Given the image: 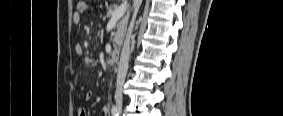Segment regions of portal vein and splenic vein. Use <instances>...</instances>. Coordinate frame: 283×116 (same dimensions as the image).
Returning a JSON list of instances; mask_svg holds the SVG:
<instances>
[{
	"label": "portal vein and splenic vein",
	"mask_w": 283,
	"mask_h": 116,
	"mask_svg": "<svg viewBox=\"0 0 283 116\" xmlns=\"http://www.w3.org/2000/svg\"><path fill=\"white\" fill-rule=\"evenodd\" d=\"M127 10L126 4H122L119 6L115 11L111 14V20H119L121 17L124 16L125 12Z\"/></svg>",
	"instance_id": "portal-vein-and-splenic-vein-1"
}]
</instances>
